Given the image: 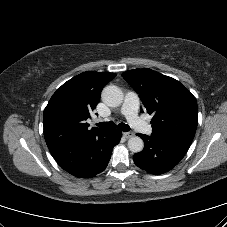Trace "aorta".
<instances>
[{
	"label": "aorta",
	"mask_w": 227,
	"mask_h": 227,
	"mask_svg": "<svg viewBox=\"0 0 227 227\" xmlns=\"http://www.w3.org/2000/svg\"><path fill=\"white\" fill-rule=\"evenodd\" d=\"M101 97L106 105L117 107L122 104L124 95L119 87L109 85L103 89ZM128 148L133 153L141 152L144 148V142L140 137L133 136L128 140Z\"/></svg>",
	"instance_id": "obj_1"
}]
</instances>
